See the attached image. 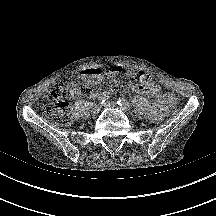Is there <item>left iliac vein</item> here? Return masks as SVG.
Segmentation results:
<instances>
[{"label":"left iliac vein","mask_w":216,"mask_h":216,"mask_svg":"<svg viewBox=\"0 0 216 216\" xmlns=\"http://www.w3.org/2000/svg\"><path fill=\"white\" fill-rule=\"evenodd\" d=\"M104 106H106V107H111V108H119V109H121V110H122L123 112H125V113H128V112H129V109H128L127 107H120V106H118L117 103L114 102V101H108V102H106V103L104 104Z\"/></svg>","instance_id":"left-iliac-vein-1"}]
</instances>
